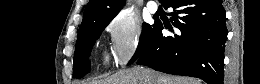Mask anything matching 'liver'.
Segmentation results:
<instances>
[{"label": "liver", "instance_id": "obj_1", "mask_svg": "<svg viewBox=\"0 0 260 84\" xmlns=\"http://www.w3.org/2000/svg\"><path fill=\"white\" fill-rule=\"evenodd\" d=\"M86 84H201L192 77L170 76L148 68H131L122 70L110 77Z\"/></svg>", "mask_w": 260, "mask_h": 84}]
</instances>
